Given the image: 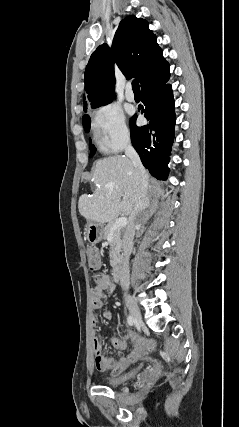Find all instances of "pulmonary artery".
Instances as JSON below:
<instances>
[{"instance_id":"1","label":"pulmonary artery","mask_w":239,"mask_h":427,"mask_svg":"<svg viewBox=\"0 0 239 427\" xmlns=\"http://www.w3.org/2000/svg\"><path fill=\"white\" fill-rule=\"evenodd\" d=\"M125 96L129 102H133L135 100V95H134L130 85L127 86Z\"/></svg>"}]
</instances>
